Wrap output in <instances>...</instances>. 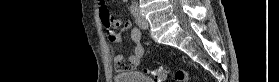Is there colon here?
Returning a JSON list of instances; mask_svg holds the SVG:
<instances>
[{
	"mask_svg": "<svg viewBox=\"0 0 279 82\" xmlns=\"http://www.w3.org/2000/svg\"><path fill=\"white\" fill-rule=\"evenodd\" d=\"M100 18L104 26L110 30L113 28L114 21L108 9L104 6L100 8ZM146 72L151 75L153 81L162 82L168 72V69L165 67H159L155 69H146ZM189 74L185 70H178L175 74V82H188Z\"/></svg>",
	"mask_w": 279,
	"mask_h": 82,
	"instance_id": "colon-1",
	"label": "colon"
}]
</instances>
